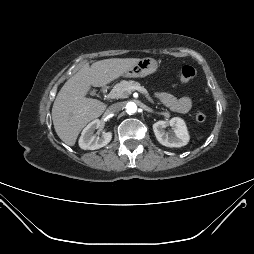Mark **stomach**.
Segmentation results:
<instances>
[{
	"instance_id": "0dacf381",
	"label": "stomach",
	"mask_w": 254,
	"mask_h": 254,
	"mask_svg": "<svg viewBox=\"0 0 254 254\" xmlns=\"http://www.w3.org/2000/svg\"><path fill=\"white\" fill-rule=\"evenodd\" d=\"M157 61L147 57L140 59L133 67L128 69L123 76L127 78H142L157 70Z\"/></svg>"
}]
</instances>
